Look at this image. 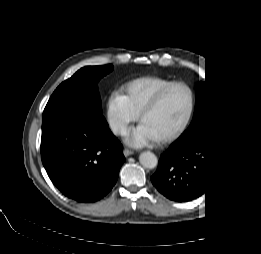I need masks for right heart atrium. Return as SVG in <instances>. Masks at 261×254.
Returning a JSON list of instances; mask_svg holds the SVG:
<instances>
[{
	"label": "right heart atrium",
	"instance_id": "obj_1",
	"mask_svg": "<svg viewBox=\"0 0 261 254\" xmlns=\"http://www.w3.org/2000/svg\"><path fill=\"white\" fill-rule=\"evenodd\" d=\"M107 116L111 130L117 135L124 134L130 124L138 119V113L122 92L114 93L109 99Z\"/></svg>",
	"mask_w": 261,
	"mask_h": 254
}]
</instances>
